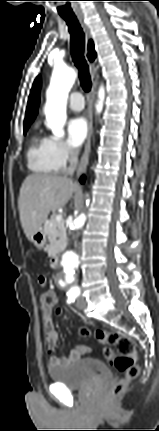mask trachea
Masks as SVG:
<instances>
[{"label":"trachea","instance_id":"obj_1","mask_svg":"<svg viewBox=\"0 0 159 431\" xmlns=\"http://www.w3.org/2000/svg\"><path fill=\"white\" fill-rule=\"evenodd\" d=\"M71 35V55L79 71L80 84L85 92L91 90L89 67L84 57L85 34L76 17H63Z\"/></svg>","mask_w":159,"mask_h":431}]
</instances>
